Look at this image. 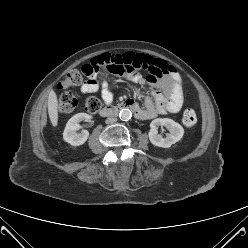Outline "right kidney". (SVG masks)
Returning a JSON list of instances; mask_svg holds the SVG:
<instances>
[{
    "label": "right kidney",
    "instance_id": "right-kidney-1",
    "mask_svg": "<svg viewBox=\"0 0 248 248\" xmlns=\"http://www.w3.org/2000/svg\"><path fill=\"white\" fill-rule=\"evenodd\" d=\"M91 116L87 113H78L75 114L73 117L69 119V121L66 124V127L63 132V139L73 145V146H79L84 144L88 137L89 132L87 130H83L81 133H77V130L80 129L79 123L81 121H90Z\"/></svg>",
    "mask_w": 248,
    "mask_h": 248
}]
</instances>
